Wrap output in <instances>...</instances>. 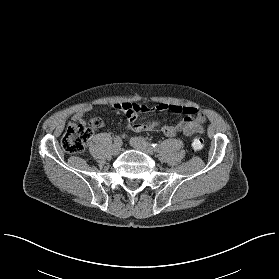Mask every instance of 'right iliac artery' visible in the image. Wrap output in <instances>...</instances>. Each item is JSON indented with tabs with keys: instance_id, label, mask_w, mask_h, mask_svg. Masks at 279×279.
Listing matches in <instances>:
<instances>
[{
	"instance_id": "right-iliac-artery-1",
	"label": "right iliac artery",
	"mask_w": 279,
	"mask_h": 279,
	"mask_svg": "<svg viewBox=\"0 0 279 279\" xmlns=\"http://www.w3.org/2000/svg\"><path fill=\"white\" fill-rule=\"evenodd\" d=\"M121 143H122L121 138H120L119 136H116V137L114 138V144H119V145H121Z\"/></svg>"
}]
</instances>
